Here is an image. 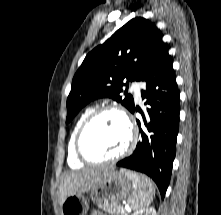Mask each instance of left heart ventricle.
<instances>
[{"label":"left heart ventricle","mask_w":221,"mask_h":215,"mask_svg":"<svg viewBox=\"0 0 221 215\" xmlns=\"http://www.w3.org/2000/svg\"><path fill=\"white\" fill-rule=\"evenodd\" d=\"M127 140L128 130L121 117L114 112H105L87 129L83 147L88 156L103 159L122 151Z\"/></svg>","instance_id":"1"}]
</instances>
